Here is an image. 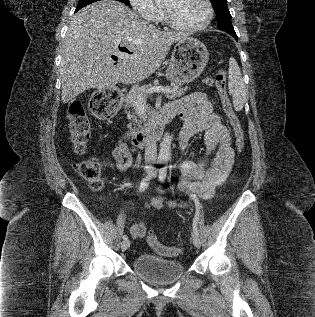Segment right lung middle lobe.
I'll use <instances>...</instances> for the list:
<instances>
[{
    "instance_id": "dd1d6c3e",
    "label": "right lung middle lobe",
    "mask_w": 315,
    "mask_h": 317,
    "mask_svg": "<svg viewBox=\"0 0 315 317\" xmlns=\"http://www.w3.org/2000/svg\"><path fill=\"white\" fill-rule=\"evenodd\" d=\"M96 1H99V0H79L76 11H78L79 9L83 8L84 6L91 4L93 2H96ZM116 1L123 2L126 5H130L129 0H116Z\"/></svg>"
}]
</instances>
